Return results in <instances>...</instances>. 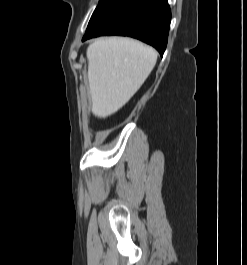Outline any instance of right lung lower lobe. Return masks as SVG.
<instances>
[{
  "label": "right lung lower lobe",
  "mask_w": 247,
  "mask_h": 265,
  "mask_svg": "<svg viewBox=\"0 0 247 265\" xmlns=\"http://www.w3.org/2000/svg\"><path fill=\"white\" fill-rule=\"evenodd\" d=\"M171 21L167 0H101L82 39L101 35L137 38L163 55Z\"/></svg>",
  "instance_id": "1"
}]
</instances>
